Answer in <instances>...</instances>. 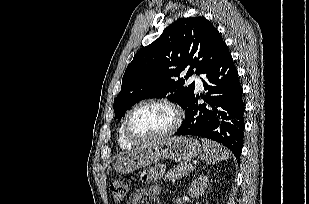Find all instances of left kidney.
Listing matches in <instances>:
<instances>
[{
    "label": "left kidney",
    "mask_w": 309,
    "mask_h": 204,
    "mask_svg": "<svg viewBox=\"0 0 309 204\" xmlns=\"http://www.w3.org/2000/svg\"><path fill=\"white\" fill-rule=\"evenodd\" d=\"M208 177L205 175L199 176L193 181L189 188V195L191 197H199L204 194V190L207 187Z\"/></svg>",
    "instance_id": "5707ae66"
}]
</instances>
